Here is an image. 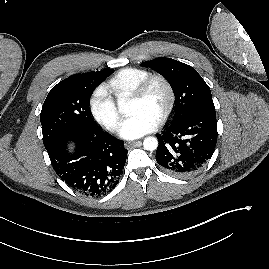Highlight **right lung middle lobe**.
<instances>
[{
    "instance_id": "obj_1",
    "label": "right lung middle lobe",
    "mask_w": 269,
    "mask_h": 269,
    "mask_svg": "<svg viewBox=\"0 0 269 269\" xmlns=\"http://www.w3.org/2000/svg\"><path fill=\"white\" fill-rule=\"evenodd\" d=\"M113 71L72 75L51 89L40 113L45 148L63 135L99 129L91 116L89 99L94 89Z\"/></svg>"
}]
</instances>
